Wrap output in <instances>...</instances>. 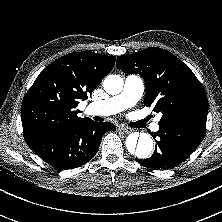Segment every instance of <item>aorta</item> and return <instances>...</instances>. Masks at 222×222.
I'll list each match as a JSON object with an SVG mask.
<instances>
[{"instance_id":"1","label":"aorta","mask_w":222,"mask_h":222,"mask_svg":"<svg viewBox=\"0 0 222 222\" xmlns=\"http://www.w3.org/2000/svg\"><path fill=\"white\" fill-rule=\"evenodd\" d=\"M123 79L118 75H109L103 82L104 90L111 95L119 94L123 89ZM129 154L138 159H145L152 153L153 140L147 133H132L126 139Z\"/></svg>"}]
</instances>
